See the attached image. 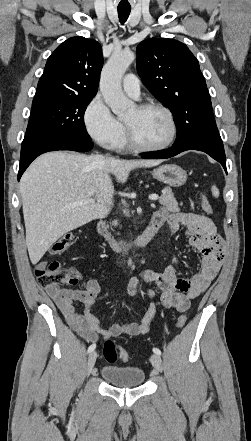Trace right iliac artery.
<instances>
[{
  "label": "right iliac artery",
  "instance_id": "obj_1",
  "mask_svg": "<svg viewBox=\"0 0 251 441\" xmlns=\"http://www.w3.org/2000/svg\"><path fill=\"white\" fill-rule=\"evenodd\" d=\"M95 348H96V344L90 345L89 348H88V353L93 352L95 350Z\"/></svg>",
  "mask_w": 251,
  "mask_h": 441
}]
</instances>
